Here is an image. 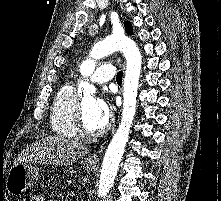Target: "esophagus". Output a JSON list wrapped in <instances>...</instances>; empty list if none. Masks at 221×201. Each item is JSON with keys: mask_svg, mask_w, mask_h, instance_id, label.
<instances>
[{"mask_svg": "<svg viewBox=\"0 0 221 201\" xmlns=\"http://www.w3.org/2000/svg\"><path fill=\"white\" fill-rule=\"evenodd\" d=\"M103 150H104V144H101L98 151L89 157V161L94 163L99 162V157L103 152Z\"/></svg>", "mask_w": 221, "mask_h": 201, "instance_id": "obj_1", "label": "esophagus"}]
</instances>
